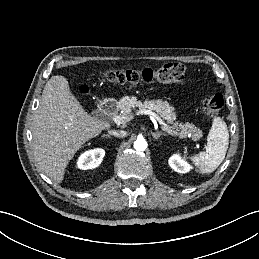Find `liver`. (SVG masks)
Masks as SVG:
<instances>
[{
    "instance_id": "obj_1",
    "label": "liver",
    "mask_w": 259,
    "mask_h": 259,
    "mask_svg": "<svg viewBox=\"0 0 259 259\" xmlns=\"http://www.w3.org/2000/svg\"><path fill=\"white\" fill-rule=\"evenodd\" d=\"M110 126L85 112L64 76H52L44 87L32 124L33 153L40 169L61 183L75 153Z\"/></svg>"
}]
</instances>
